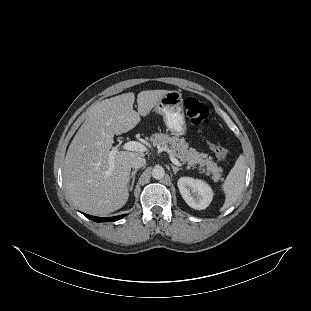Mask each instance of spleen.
<instances>
[{"instance_id":"1","label":"spleen","mask_w":311,"mask_h":311,"mask_svg":"<svg viewBox=\"0 0 311 311\" xmlns=\"http://www.w3.org/2000/svg\"><path fill=\"white\" fill-rule=\"evenodd\" d=\"M246 162L244 155H240L223 184L226 199L221 211L229 208L240 197L245 186Z\"/></svg>"}]
</instances>
